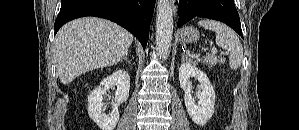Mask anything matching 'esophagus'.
Returning a JSON list of instances; mask_svg holds the SVG:
<instances>
[{
  "mask_svg": "<svg viewBox=\"0 0 299 130\" xmlns=\"http://www.w3.org/2000/svg\"><path fill=\"white\" fill-rule=\"evenodd\" d=\"M171 5H172L174 16L177 17V15H178L177 11H178L179 1H177V0H171Z\"/></svg>",
  "mask_w": 299,
  "mask_h": 130,
  "instance_id": "esophagus-1",
  "label": "esophagus"
}]
</instances>
